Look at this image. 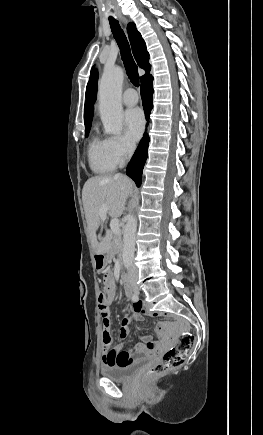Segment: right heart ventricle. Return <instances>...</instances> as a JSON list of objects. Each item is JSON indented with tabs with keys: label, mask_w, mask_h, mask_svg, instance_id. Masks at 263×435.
<instances>
[{
	"label": "right heart ventricle",
	"mask_w": 263,
	"mask_h": 435,
	"mask_svg": "<svg viewBox=\"0 0 263 435\" xmlns=\"http://www.w3.org/2000/svg\"><path fill=\"white\" fill-rule=\"evenodd\" d=\"M88 160L96 174H109L117 166L110 152L109 138L94 134L88 146Z\"/></svg>",
	"instance_id": "obj_1"
}]
</instances>
